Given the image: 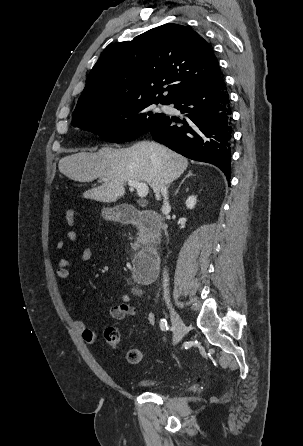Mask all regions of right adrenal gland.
Instances as JSON below:
<instances>
[{"instance_id": "2a0ac1e0", "label": "right adrenal gland", "mask_w": 303, "mask_h": 446, "mask_svg": "<svg viewBox=\"0 0 303 446\" xmlns=\"http://www.w3.org/2000/svg\"><path fill=\"white\" fill-rule=\"evenodd\" d=\"M194 176V174L192 173V171H188V174L185 176V178L181 181L180 185L178 186L177 190L175 191V195L178 193L181 185L183 184V182L185 181L186 178Z\"/></svg>"}]
</instances>
